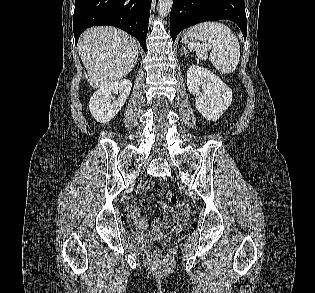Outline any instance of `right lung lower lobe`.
I'll use <instances>...</instances> for the list:
<instances>
[{
	"label": "right lung lower lobe",
	"instance_id": "obj_1",
	"mask_svg": "<svg viewBox=\"0 0 315 293\" xmlns=\"http://www.w3.org/2000/svg\"><path fill=\"white\" fill-rule=\"evenodd\" d=\"M152 0H75V43L81 33L98 25L118 27L140 42L146 52V36Z\"/></svg>",
	"mask_w": 315,
	"mask_h": 293
}]
</instances>
